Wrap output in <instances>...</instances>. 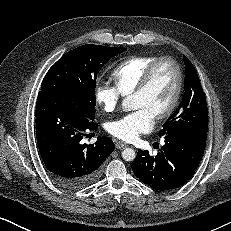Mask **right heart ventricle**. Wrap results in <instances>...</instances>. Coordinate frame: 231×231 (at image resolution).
<instances>
[{
	"label": "right heart ventricle",
	"instance_id": "e07e8e85",
	"mask_svg": "<svg viewBox=\"0 0 231 231\" xmlns=\"http://www.w3.org/2000/svg\"><path fill=\"white\" fill-rule=\"evenodd\" d=\"M157 56H135L123 61L112 73L115 86L123 96L131 95L146 68Z\"/></svg>",
	"mask_w": 231,
	"mask_h": 231
}]
</instances>
